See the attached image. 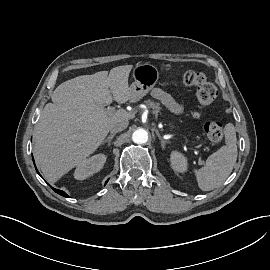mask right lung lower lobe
I'll return each instance as SVG.
<instances>
[{
    "label": "right lung lower lobe",
    "instance_id": "obj_1",
    "mask_svg": "<svg viewBox=\"0 0 270 270\" xmlns=\"http://www.w3.org/2000/svg\"><path fill=\"white\" fill-rule=\"evenodd\" d=\"M33 161H34V159H33ZM37 170V169H36ZM38 172V171H37ZM38 174H39V172H38ZM53 190L56 192V193H58V194H60V195H62V196H64V197H69L64 191H62V190H58V189H54L53 188Z\"/></svg>",
    "mask_w": 270,
    "mask_h": 270
}]
</instances>
